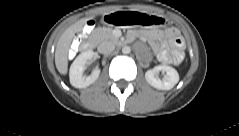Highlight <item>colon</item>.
<instances>
[{
    "instance_id": "colon-1",
    "label": "colon",
    "mask_w": 239,
    "mask_h": 136,
    "mask_svg": "<svg viewBox=\"0 0 239 136\" xmlns=\"http://www.w3.org/2000/svg\"><path fill=\"white\" fill-rule=\"evenodd\" d=\"M88 27V30H85V28ZM93 29V23L89 22L85 27H84V32L88 33Z\"/></svg>"
}]
</instances>
